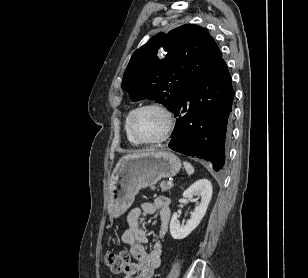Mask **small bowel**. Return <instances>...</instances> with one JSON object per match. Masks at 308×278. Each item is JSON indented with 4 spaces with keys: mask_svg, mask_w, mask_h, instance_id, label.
Listing matches in <instances>:
<instances>
[{
    "mask_svg": "<svg viewBox=\"0 0 308 278\" xmlns=\"http://www.w3.org/2000/svg\"><path fill=\"white\" fill-rule=\"evenodd\" d=\"M160 219L157 240L152 250L148 252L145 244L148 237L142 226V215H155ZM171 216L170 200L165 196L158 197L154 202H146L141 207L133 208L127 215V229L122 233L121 239L128 246L131 261L123 271V278H153L161 262V239L167 232Z\"/></svg>",
    "mask_w": 308,
    "mask_h": 278,
    "instance_id": "small-bowel-1",
    "label": "small bowel"
}]
</instances>
